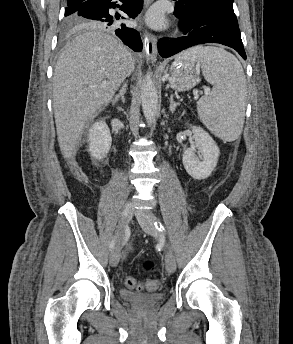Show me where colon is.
<instances>
[{"mask_svg": "<svg viewBox=\"0 0 293 344\" xmlns=\"http://www.w3.org/2000/svg\"><path fill=\"white\" fill-rule=\"evenodd\" d=\"M154 263L151 260H146L143 262L142 267L145 271H151L154 269ZM126 284L129 287L135 286L136 281L132 277L126 279ZM145 287L149 290L156 289L158 287V282L154 279H149L145 282Z\"/></svg>", "mask_w": 293, "mask_h": 344, "instance_id": "obj_1", "label": "colon"}]
</instances>
